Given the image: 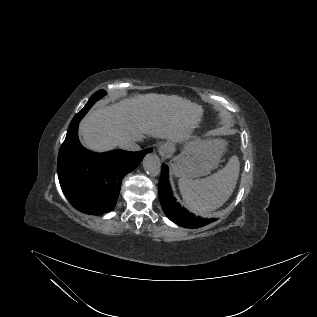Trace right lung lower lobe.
Instances as JSON below:
<instances>
[{
    "label": "right lung lower lobe",
    "instance_id": "1",
    "mask_svg": "<svg viewBox=\"0 0 317 317\" xmlns=\"http://www.w3.org/2000/svg\"><path fill=\"white\" fill-rule=\"evenodd\" d=\"M81 119L71 124L59 151L57 172L60 186L77 210L92 215L106 213L116 205L123 177L134 170L152 149L90 152L78 139Z\"/></svg>",
    "mask_w": 317,
    "mask_h": 317
}]
</instances>
